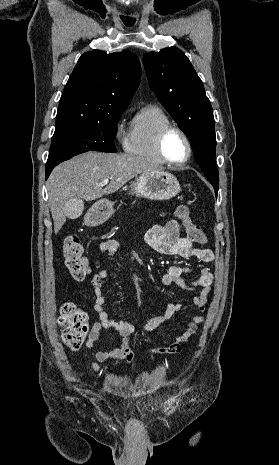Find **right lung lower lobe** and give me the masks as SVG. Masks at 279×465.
Instances as JSON below:
<instances>
[{
    "mask_svg": "<svg viewBox=\"0 0 279 465\" xmlns=\"http://www.w3.org/2000/svg\"><path fill=\"white\" fill-rule=\"evenodd\" d=\"M55 167V165L51 166H46V178H48L49 174L51 173L52 169Z\"/></svg>",
    "mask_w": 279,
    "mask_h": 465,
    "instance_id": "right-lung-lower-lobe-1",
    "label": "right lung lower lobe"
}]
</instances>
